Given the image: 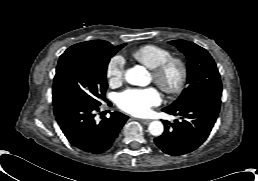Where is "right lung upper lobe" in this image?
<instances>
[{"label":"right lung upper lobe","mask_w":258,"mask_h":181,"mask_svg":"<svg viewBox=\"0 0 258 181\" xmlns=\"http://www.w3.org/2000/svg\"><path fill=\"white\" fill-rule=\"evenodd\" d=\"M78 44L87 45V46H91V47L99 48V49L113 47L109 42L103 41V40L87 41V42H82V43H78Z\"/></svg>","instance_id":"cb5924a9"}]
</instances>
